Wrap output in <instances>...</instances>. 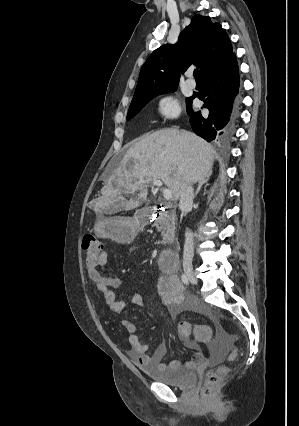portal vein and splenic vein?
I'll use <instances>...</instances> for the list:
<instances>
[{"instance_id": "portal-vein-and-splenic-vein-1", "label": "portal vein and splenic vein", "mask_w": 299, "mask_h": 426, "mask_svg": "<svg viewBox=\"0 0 299 426\" xmlns=\"http://www.w3.org/2000/svg\"><path fill=\"white\" fill-rule=\"evenodd\" d=\"M152 184L155 185V186H158V187L163 185L161 180H154V181H152ZM163 196L166 200H170L172 198V193L169 189L164 188L163 189Z\"/></svg>"}]
</instances>
